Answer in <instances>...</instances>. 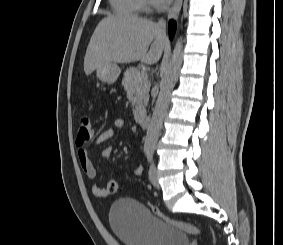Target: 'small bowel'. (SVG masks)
I'll return each mask as SVG.
<instances>
[{
    "label": "small bowel",
    "instance_id": "small-bowel-1",
    "mask_svg": "<svg viewBox=\"0 0 283 245\" xmlns=\"http://www.w3.org/2000/svg\"><path fill=\"white\" fill-rule=\"evenodd\" d=\"M125 120L122 118L115 119L113 122V127L108 128L107 130L103 131L95 140V144L99 145L105 143L112 139L116 135V131L125 127ZM112 153L111 146L107 145L103 149V156L109 160ZM78 159L82 170L84 171L85 175L89 179L91 183L92 192L96 196H106L105 188L100 187L96 182V168L89 156V152L85 148H80L78 150ZM143 172V167L138 164L134 169V173L136 175H141Z\"/></svg>",
    "mask_w": 283,
    "mask_h": 245
}]
</instances>
